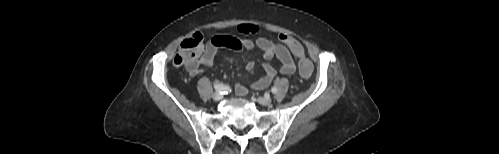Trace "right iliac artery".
<instances>
[{
	"label": "right iliac artery",
	"instance_id": "right-iliac-artery-1",
	"mask_svg": "<svg viewBox=\"0 0 499 154\" xmlns=\"http://www.w3.org/2000/svg\"><path fill=\"white\" fill-rule=\"evenodd\" d=\"M214 88L216 91H218L220 94H227L228 92H231V89L229 86L224 85L222 83H217L214 82Z\"/></svg>",
	"mask_w": 499,
	"mask_h": 154
}]
</instances>
